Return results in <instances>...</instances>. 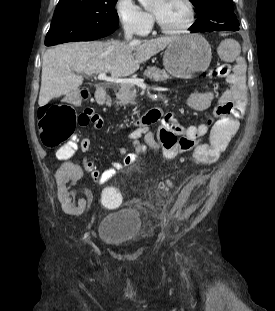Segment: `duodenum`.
I'll return each instance as SVG.
<instances>
[{"instance_id":"1","label":"duodenum","mask_w":275,"mask_h":311,"mask_svg":"<svg viewBox=\"0 0 275 311\" xmlns=\"http://www.w3.org/2000/svg\"><path fill=\"white\" fill-rule=\"evenodd\" d=\"M73 95L69 96V98H72ZM96 98L99 102H105L107 101V97H106V90L104 87L100 86L97 88L96 90ZM159 110V109H158ZM156 111V109H151L150 111H148L144 116H142L141 118H139L136 121L137 125H145V120L147 119L148 114L150 113H154Z\"/></svg>"}]
</instances>
